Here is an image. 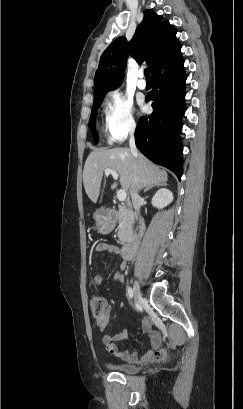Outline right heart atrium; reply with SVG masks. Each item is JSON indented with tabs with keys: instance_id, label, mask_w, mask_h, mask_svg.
<instances>
[{
	"instance_id": "1",
	"label": "right heart atrium",
	"mask_w": 243,
	"mask_h": 409,
	"mask_svg": "<svg viewBox=\"0 0 243 409\" xmlns=\"http://www.w3.org/2000/svg\"><path fill=\"white\" fill-rule=\"evenodd\" d=\"M136 121L133 115V104L119 91L108 94L105 109V130L112 141H120L133 133Z\"/></svg>"
}]
</instances>
